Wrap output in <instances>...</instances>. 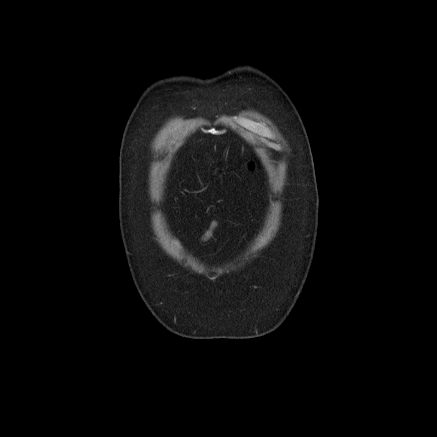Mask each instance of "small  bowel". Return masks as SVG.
Masks as SVG:
<instances>
[{"instance_id": "c3829d8e", "label": "small bowel", "mask_w": 437, "mask_h": 437, "mask_svg": "<svg viewBox=\"0 0 437 437\" xmlns=\"http://www.w3.org/2000/svg\"><path fill=\"white\" fill-rule=\"evenodd\" d=\"M218 227V221L217 220H213L210 225L209 228L206 230V232L204 233V235L201 238V243H205L208 240H210L216 230V228ZM174 244L175 246L181 250L182 249V245L181 242L178 239H174Z\"/></svg>"}]
</instances>
